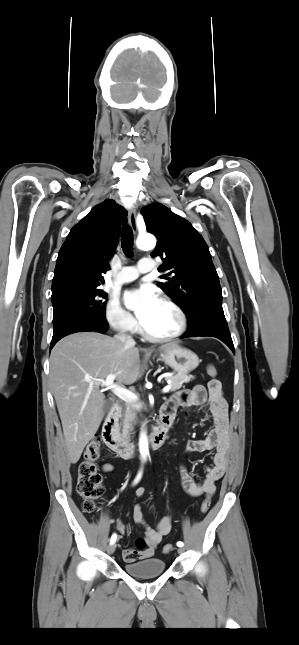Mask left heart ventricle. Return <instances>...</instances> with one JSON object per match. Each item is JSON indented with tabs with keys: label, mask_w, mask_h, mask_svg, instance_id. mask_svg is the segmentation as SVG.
I'll return each mask as SVG.
<instances>
[{
	"label": "left heart ventricle",
	"mask_w": 299,
	"mask_h": 645,
	"mask_svg": "<svg viewBox=\"0 0 299 645\" xmlns=\"http://www.w3.org/2000/svg\"><path fill=\"white\" fill-rule=\"evenodd\" d=\"M142 326L153 335H167L176 330L178 318L169 306L159 301Z\"/></svg>",
	"instance_id": "left-heart-ventricle-1"
}]
</instances>
